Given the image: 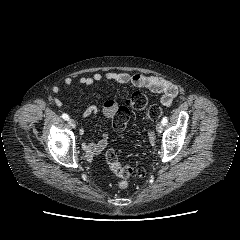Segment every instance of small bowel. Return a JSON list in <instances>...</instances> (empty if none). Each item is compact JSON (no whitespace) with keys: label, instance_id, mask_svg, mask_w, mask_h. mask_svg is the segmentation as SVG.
I'll return each mask as SVG.
<instances>
[{"label":"small bowel","instance_id":"1","mask_svg":"<svg viewBox=\"0 0 240 240\" xmlns=\"http://www.w3.org/2000/svg\"><path fill=\"white\" fill-rule=\"evenodd\" d=\"M111 81L118 84H131L138 88H145L151 92L160 94V102L165 107H170L177 97L179 91L175 84L163 79L161 77L146 75L143 73H127V72H113L109 71L105 74L95 73L92 76H82L79 78V83L84 86H92L99 84L103 81ZM73 83V79L67 77L64 79V85L70 86ZM54 103L61 107L63 104L61 100L57 97L60 90L59 88L54 89ZM119 107L118 100L116 97L107 99L102 106V113L107 119L114 117L117 109ZM98 114V109L95 106H89L82 112V117H92L95 118ZM84 130L81 129L83 134ZM108 132L105 131L102 138L96 141L84 142L82 147L84 151L89 156L100 153L107 145L108 142Z\"/></svg>","mask_w":240,"mask_h":240}]
</instances>
